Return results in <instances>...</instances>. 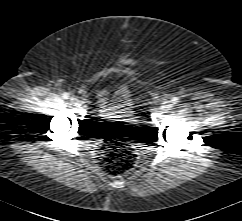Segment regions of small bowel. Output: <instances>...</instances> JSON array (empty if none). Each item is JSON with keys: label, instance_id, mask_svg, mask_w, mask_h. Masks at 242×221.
Returning <instances> with one entry per match:
<instances>
[{"label": "small bowel", "instance_id": "1", "mask_svg": "<svg viewBox=\"0 0 242 221\" xmlns=\"http://www.w3.org/2000/svg\"><path fill=\"white\" fill-rule=\"evenodd\" d=\"M96 98L98 100L100 114L105 115L109 113L111 111L109 107L110 92L107 90H100L96 93Z\"/></svg>", "mask_w": 242, "mask_h": 221}]
</instances>
